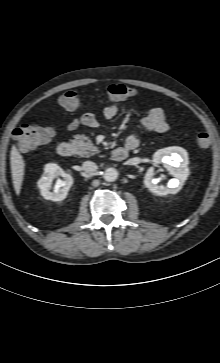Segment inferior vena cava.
Masks as SVG:
<instances>
[{
  "label": "inferior vena cava",
  "mask_w": 220,
  "mask_h": 363,
  "mask_svg": "<svg viewBox=\"0 0 220 363\" xmlns=\"http://www.w3.org/2000/svg\"><path fill=\"white\" fill-rule=\"evenodd\" d=\"M82 168L87 173H93L98 169V166L92 161H85L82 164Z\"/></svg>",
  "instance_id": "inferior-vena-cava-1"
}]
</instances>
